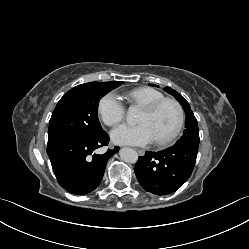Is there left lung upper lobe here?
Here are the masks:
<instances>
[{"label": "left lung upper lobe", "mask_w": 249, "mask_h": 249, "mask_svg": "<svg viewBox=\"0 0 249 249\" xmlns=\"http://www.w3.org/2000/svg\"><path fill=\"white\" fill-rule=\"evenodd\" d=\"M152 86H156L151 84ZM164 90L171 95H173L182 105L186 119L184 133L182 137L177 141L175 145H195L199 146V130L197 125V120L191 111L189 103L182 97L177 91L173 90L170 87H165Z\"/></svg>", "instance_id": "5c2ea615"}]
</instances>
